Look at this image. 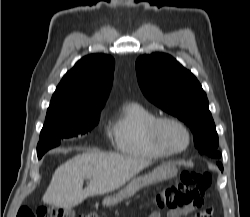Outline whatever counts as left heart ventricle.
I'll list each match as a JSON object with an SVG mask.
<instances>
[{
    "mask_svg": "<svg viewBox=\"0 0 250 217\" xmlns=\"http://www.w3.org/2000/svg\"><path fill=\"white\" fill-rule=\"evenodd\" d=\"M165 140L173 147H183L186 142L185 135L181 130L172 125H167L163 130Z\"/></svg>",
    "mask_w": 250,
    "mask_h": 217,
    "instance_id": "obj_1",
    "label": "left heart ventricle"
}]
</instances>
